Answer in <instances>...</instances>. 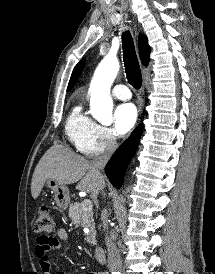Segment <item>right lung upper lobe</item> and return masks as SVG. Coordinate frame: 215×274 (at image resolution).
<instances>
[{"label":"right lung upper lobe","instance_id":"cb5924a9","mask_svg":"<svg viewBox=\"0 0 215 274\" xmlns=\"http://www.w3.org/2000/svg\"><path fill=\"white\" fill-rule=\"evenodd\" d=\"M139 51H140V57H141L143 65L147 66L149 63L150 47L148 45L147 39L143 35L139 36ZM84 64H85V60L82 59L75 66V68L72 72L69 84H68L67 91H69L72 88V86L74 85V83L76 82L78 76L80 75L81 70L84 67Z\"/></svg>","mask_w":215,"mask_h":274}]
</instances>
